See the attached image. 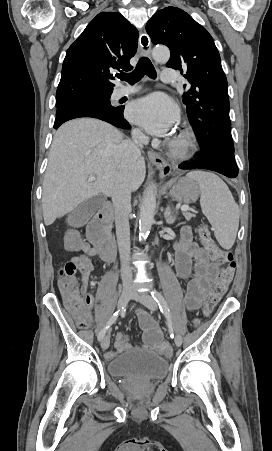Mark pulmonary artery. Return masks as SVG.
Instances as JSON below:
<instances>
[{
    "instance_id": "pulmonary-artery-1",
    "label": "pulmonary artery",
    "mask_w": 272,
    "mask_h": 451,
    "mask_svg": "<svg viewBox=\"0 0 272 451\" xmlns=\"http://www.w3.org/2000/svg\"><path fill=\"white\" fill-rule=\"evenodd\" d=\"M175 70H173L172 66L165 65L160 72V77L166 81L168 85H173L175 83ZM131 92L126 90H115L112 94V99L118 100L124 96L129 95Z\"/></svg>"
}]
</instances>
